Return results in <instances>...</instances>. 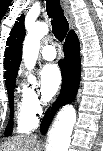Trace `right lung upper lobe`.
I'll return each mask as SVG.
<instances>
[{"instance_id":"right-lung-upper-lobe-1","label":"right lung upper lobe","mask_w":103,"mask_h":151,"mask_svg":"<svg viewBox=\"0 0 103 151\" xmlns=\"http://www.w3.org/2000/svg\"><path fill=\"white\" fill-rule=\"evenodd\" d=\"M25 37L24 15L18 18L14 27L10 32V37L7 40V48L4 54V73L5 82L15 81L22 54V41Z\"/></svg>"}]
</instances>
